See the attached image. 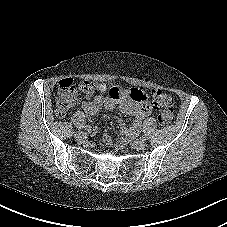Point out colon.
<instances>
[{
	"instance_id": "colon-1",
	"label": "colon",
	"mask_w": 227,
	"mask_h": 227,
	"mask_svg": "<svg viewBox=\"0 0 227 227\" xmlns=\"http://www.w3.org/2000/svg\"><path fill=\"white\" fill-rule=\"evenodd\" d=\"M78 89L85 98H91L97 91L98 85L94 82H82L77 87L70 78L62 79L58 83L57 95L55 99L56 115L59 118H64L75 105L77 101ZM151 103L161 108L158 117L160 125L167 126L173 118L172 98L162 90H154L151 95Z\"/></svg>"
}]
</instances>
